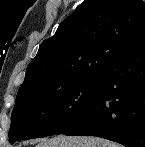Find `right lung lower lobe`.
<instances>
[{
	"label": "right lung lower lobe",
	"mask_w": 145,
	"mask_h": 147,
	"mask_svg": "<svg viewBox=\"0 0 145 147\" xmlns=\"http://www.w3.org/2000/svg\"><path fill=\"white\" fill-rule=\"evenodd\" d=\"M92 102L63 133L145 147V38L101 73Z\"/></svg>",
	"instance_id": "1"
}]
</instances>
